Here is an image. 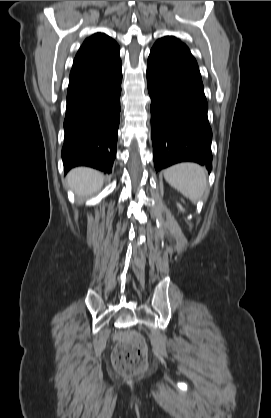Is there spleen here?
<instances>
[{
  "mask_svg": "<svg viewBox=\"0 0 271 418\" xmlns=\"http://www.w3.org/2000/svg\"><path fill=\"white\" fill-rule=\"evenodd\" d=\"M164 178L192 202L201 200L207 188L205 169L192 162L175 164L165 169Z\"/></svg>",
  "mask_w": 271,
  "mask_h": 418,
  "instance_id": "obj_1",
  "label": "spleen"
}]
</instances>
